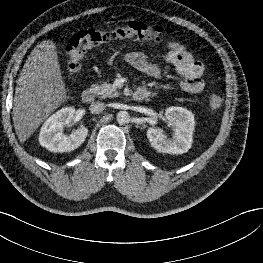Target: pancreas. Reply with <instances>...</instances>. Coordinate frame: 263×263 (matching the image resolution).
Returning a JSON list of instances; mask_svg holds the SVG:
<instances>
[{
	"mask_svg": "<svg viewBox=\"0 0 263 263\" xmlns=\"http://www.w3.org/2000/svg\"><path fill=\"white\" fill-rule=\"evenodd\" d=\"M94 93L97 95H100L102 98H112L119 96V93L117 91V88L111 84L104 82L100 85H93L92 86Z\"/></svg>",
	"mask_w": 263,
	"mask_h": 263,
	"instance_id": "cf45deb5",
	"label": "pancreas"
}]
</instances>
